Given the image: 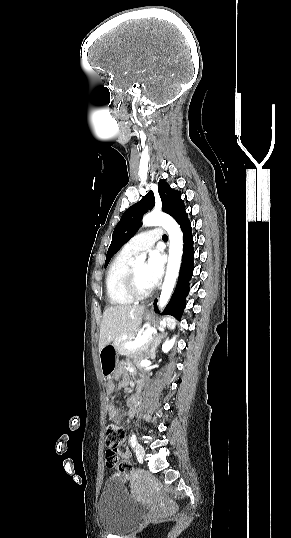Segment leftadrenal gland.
Instances as JSON below:
<instances>
[{"instance_id": "a2214340", "label": "left adrenal gland", "mask_w": 291, "mask_h": 538, "mask_svg": "<svg viewBox=\"0 0 291 538\" xmlns=\"http://www.w3.org/2000/svg\"><path fill=\"white\" fill-rule=\"evenodd\" d=\"M162 338L163 336L157 335V338L154 341H152L150 345V349L147 350L148 354L151 356L152 359L155 357V351H156L157 345L160 343Z\"/></svg>"}]
</instances>
